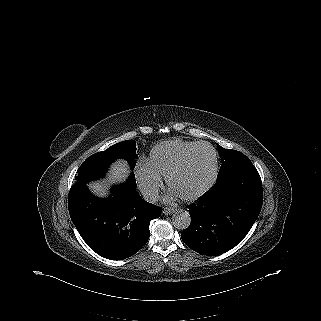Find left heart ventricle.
I'll use <instances>...</instances> for the list:
<instances>
[{
  "mask_svg": "<svg viewBox=\"0 0 321 321\" xmlns=\"http://www.w3.org/2000/svg\"><path fill=\"white\" fill-rule=\"evenodd\" d=\"M214 157L209 148L195 150L187 165L171 181L170 189L178 196L191 195L203 188L211 179Z\"/></svg>",
  "mask_w": 321,
  "mask_h": 321,
  "instance_id": "left-heart-ventricle-1",
  "label": "left heart ventricle"
}]
</instances>
